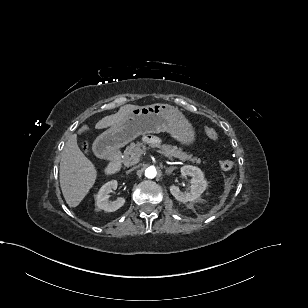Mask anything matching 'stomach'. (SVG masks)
I'll use <instances>...</instances> for the list:
<instances>
[{"label": "stomach", "instance_id": "obj_1", "mask_svg": "<svg viewBox=\"0 0 308 308\" xmlns=\"http://www.w3.org/2000/svg\"><path fill=\"white\" fill-rule=\"evenodd\" d=\"M168 132L183 145L195 141V131L180 110L169 104L156 103L133 109L120 123L111 126L94 142L101 153L123 147L139 135Z\"/></svg>", "mask_w": 308, "mask_h": 308}]
</instances>
